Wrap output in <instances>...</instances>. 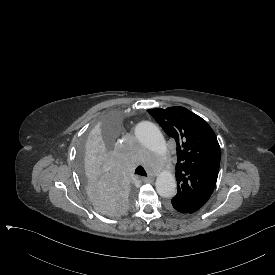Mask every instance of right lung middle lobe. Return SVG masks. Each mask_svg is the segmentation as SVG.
I'll return each mask as SVG.
<instances>
[{"label":"right lung middle lobe","mask_w":275,"mask_h":275,"mask_svg":"<svg viewBox=\"0 0 275 275\" xmlns=\"http://www.w3.org/2000/svg\"><path fill=\"white\" fill-rule=\"evenodd\" d=\"M121 127L118 113H104L85 132L78 153V174L87 195L99 211L110 216L124 214L135 195L113 150Z\"/></svg>","instance_id":"right-lung-middle-lobe-1"}]
</instances>
